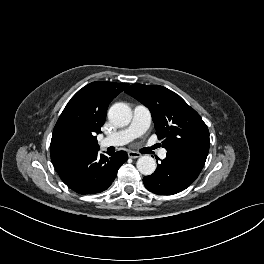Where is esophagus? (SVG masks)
I'll use <instances>...</instances> for the list:
<instances>
[{
  "mask_svg": "<svg viewBox=\"0 0 264 264\" xmlns=\"http://www.w3.org/2000/svg\"><path fill=\"white\" fill-rule=\"evenodd\" d=\"M128 156L130 158L136 159V158H139L141 156V154L138 152H135V151H129Z\"/></svg>",
  "mask_w": 264,
  "mask_h": 264,
  "instance_id": "1",
  "label": "esophagus"
}]
</instances>
